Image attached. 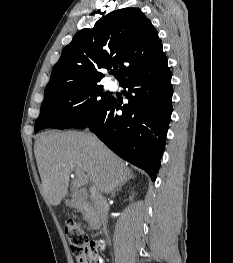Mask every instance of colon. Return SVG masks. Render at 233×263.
Segmentation results:
<instances>
[{"instance_id":"colon-1","label":"colon","mask_w":233,"mask_h":263,"mask_svg":"<svg viewBox=\"0 0 233 263\" xmlns=\"http://www.w3.org/2000/svg\"><path fill=\"white\" fill-rule=\"evenodd\" d=\"M65 234L72 254L79 263H98V244L88 237L81 224L68 221L65 224Z\"/></svg>"}]
</instances>
